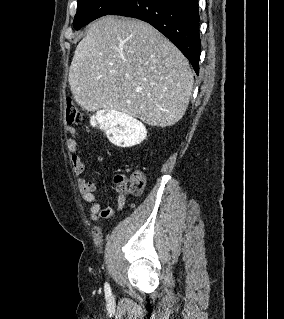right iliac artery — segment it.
<instances>
[{
  "mask_svg": "<svg viewBox=\"0 0 284 319\" xmlns=\"http://www.w3.org/2000/svg\"><path fill=\"white\" fill-rule=\"evenodd\" d=\"M104 289H105V293H106L107 295H110V294H111V288H110V286H109L108 283H105Z\"/></svg>",
  "mask_w": 284,
  "mask_h": 319,
  "instance_id": "right-iliac-artery-1",
  "label": "right iliac artery"
}]
</instances>
